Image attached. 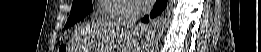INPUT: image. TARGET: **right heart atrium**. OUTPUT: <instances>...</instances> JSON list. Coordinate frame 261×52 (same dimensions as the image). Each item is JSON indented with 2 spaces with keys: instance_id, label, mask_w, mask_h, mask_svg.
Returning a JSON list of instances; mask_svg holds the SVG:
<instances>
[{
  "instance_id": "right-heart-atrium-1",
  "label": "right heart atrium",
  "mask_w": 261,
  "mask_h": 52,
  "mask_svg": "<svg viewBox=\"0 0 261 52\" xmlns=\"http://www.w3.org/2000/svg\"><path fill=\"white\" fill-rule=\"evenodd\" d=\"M101 2L113 7L105 14L109 17L132 18L136 15V7L129 0H101Z\"/></svg>"
}]
</instances>
